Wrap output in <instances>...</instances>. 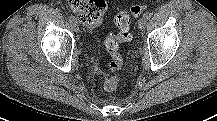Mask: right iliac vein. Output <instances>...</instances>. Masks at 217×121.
<instances>
[{"instance_id": "1", "label": "right iliac vein", "mask_w": 217, "mask_h": 121, "mask_svg": "<svg viewBox=\"0 0 217 121\" xmlns=\"http://www.w3.org/2000/svg\"><path fill=\"white\" fill-rule=\"evenodd\" d=\"M72 27H73L75 32L79 31V25H78L77 21L72 22Z\"/></svg>"}]
</instances>
